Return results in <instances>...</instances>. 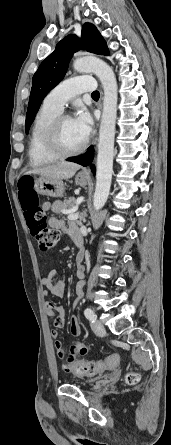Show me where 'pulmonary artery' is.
<instances>
[{
    "instance_id": "e3ab8cb5",
    "label": "pulmonary artery",
    "mask_w": 171,
    "mask_h": 445,
    "mask_svg": "<svg viewBox=\"0 0 171 445\" xmlns=\"http://www.w3.org/2000/svg\"><path fill=\"white\" fill-rule=\"evenodd\" d=\"M95 90L94 79L91 76H77L64 80L54 87L45 97L44 104L62 111L64 105L74 96Z\"/></svg>"
}]
</instances>
